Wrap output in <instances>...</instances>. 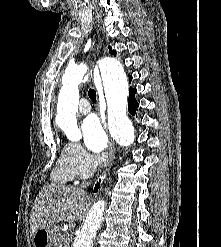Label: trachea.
<instances>
[{"label": "trachea", "instance_id": "3493384b", "mask_svg": "<svg viewBox=\"0 0 221 247\" xmlns=\"http://www.w3.org/2000/svg\"><path fill=\"white\" fill-rule=\"evenodd\" d=\"M88 94H89V98L93 102H96V91L94 89H89Z\"/></svg>", "mask_w": 221, "mask_h": 247}]
</instances>
